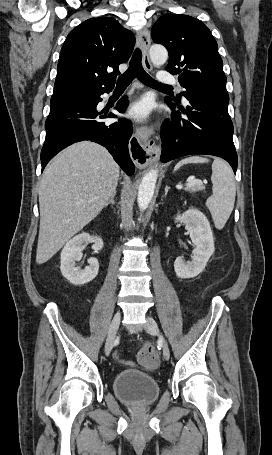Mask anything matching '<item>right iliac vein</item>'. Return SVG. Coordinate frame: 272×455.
<instances>
[{
  "mask_svg": "<svg viewBox=\"0 0 272 455\" xmlns=\"http://www.w3.org/2000/svg\"><path fill=\"white\" fill-rule=\"evenodd\" d=\"M120 319H121V314L120 312H116L113 319H112V322L110 324V327H109V330H108V335H107V339H106V343H105V355L106 356H109L112 348H113V345H114V342H115V337H116V333H117V330L119 328V325H120Z\"/></svg>",
  "mask_w": 272,
  "mask_h": 455,
  "instance_id": "1",
  "label": "right iliac vein"
}]
</instances>
